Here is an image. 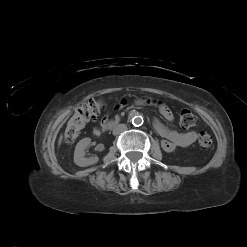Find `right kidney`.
<instances>
[{"mask_svg": "<svg viewBox=\"0 0 247 247\" xmlns=\"http://www.w3.org/2000/svg\"><path fill=\"white\" fill-rule=\"evenodd\" d=\"M91 139L90 138H83L80 140L74 151V163L80 167H87L90 165H93L98 162L99 158L97 156L85 158V149L90 144Z\"/></svg>", "mask_w": 247, "mask_h": 247, "instance_id": "1", "label": "right kidney"}]
</instances>
